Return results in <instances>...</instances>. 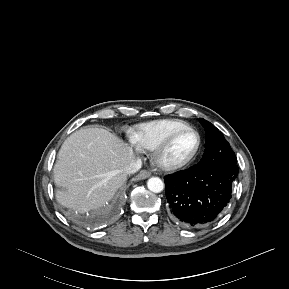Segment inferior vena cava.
<instances>
[{
    "mask_svg": "<svg viewBox=\"0 0 289 289\" xmlns=\"http://www.w3.org/2000/svg\"><path fill=\"white\" fill-rule=\"evenodd\" d=\"M141 165H142L141 159L136 158L124 169V173L126 175L133 174L141 168Z\"/></svg>",
    "mask_w": 289,
    "mask_h": 289,
    "instance_id": "obj_1",
    "label": "inferior vena cava"
}]
</instances>
